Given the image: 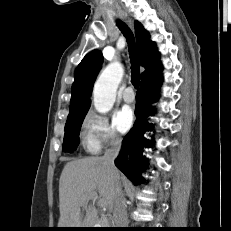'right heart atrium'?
Listing matches in <instances>:
<instances>
[{
	"label": "right heart atrium",
	"mask_w": 231,
	"mask_h": 231,
	"mask_svg": "<svg viewBox=\"0 0 231 231\" xmlns=\"http://www.w3.org/2000/svg\"><path fill=\"white\" fill-rule=\"evenodd\" d=\"M83 131L87 146L92 152H100L108 146L118 145L121 142V136L110 118L95 111H89L85 115Z\"/></svg>",
	"instance_id": "d8ad5b80"
}]
</instances>
